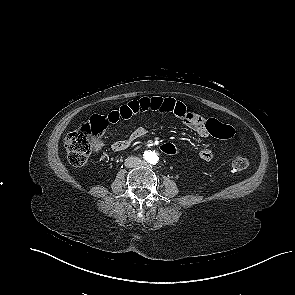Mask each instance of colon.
<instances>
[{
    "instance_id": "obj_1",
    "label": "colon",
    "mask_w": 295,
    "mask_h": 295,
    "mask_svg": "<svg viewBox=\"0 0 295 295\" xmlns=\"http://www.w3.org/2000/svg\"><path fill=\"white\" fill-rule=\"evenodd\" d=\"M106 126L107 123L103 116L94 115L66 136L64 145L68 160L73 166L80 167L86 164L94 142L101 136ZM207 129L210 134L221 139L232 138L236 133L232 125L214 119L207 122ZM160 149L169 156H176L179 153L178 146L169 141L161 142ZM248 165L247 158L238 156L232 162V169L240 172L245 170Z\"/></svg>"
}]
</instances>
